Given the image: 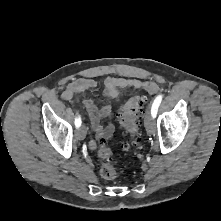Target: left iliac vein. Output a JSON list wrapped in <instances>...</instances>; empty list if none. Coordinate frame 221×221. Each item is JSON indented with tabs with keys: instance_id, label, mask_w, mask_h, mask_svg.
<instances>
[{
	"instance_id": "obj_1",
	"label": "left iliac vein",
	"mask_w": 221,
	"mask_h": 221,
	"mask_svg": "<svg viewBox=\"0 0 221 221\" xmlns=\"http://www.w3.org/2000/svg\"><path fill=\"white\" fill-rule=\"evenodd\" d=\"M145 128H146V131L149 133V134H153L156 130V125H155V122L150 114L149 111L146 112V115H145Z\"/></svg>"
}]
</instances>
